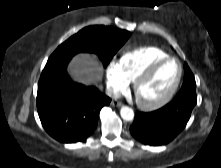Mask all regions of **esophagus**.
Returning <instances> with one entry per match:
<instances>
[{"label": "esophagus", "mask_w": 221, "mask_h": 168, "mask_svg": "<svg viewBox=\"0 0 221 168\" xmlns=\"http://www.w3.org/2000/svg\"><path fill=\"white\" fill-rule=\"evenodd\" d=\"M111 105L113 106V107H121L122 106V103L121 102H119V101H112L111 102Z\"/></svg>", "instance_id": "1"}]
</instances>
